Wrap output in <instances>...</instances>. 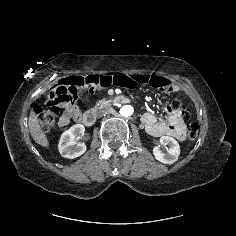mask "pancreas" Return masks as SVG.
<instances>
[{
    "mask_svg": "<svg viewBox=\"0 0 236 236\" xmlns=\"http://www.w3.org/2000/svg\"><path fill=\"white\" fill-rule=\"evenodd\" d=\"M106 103L105 100H100L97 104V107L103 106Z\"/></svg>",
    "mask_w": 236,
    "mask_h": 236,
    "instance_id": "1",
    "label": "pancreas"
}]
</instances>
